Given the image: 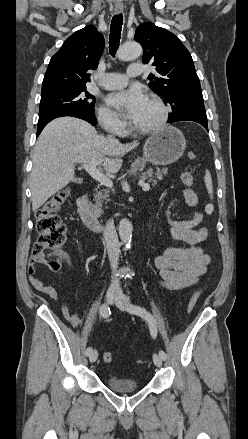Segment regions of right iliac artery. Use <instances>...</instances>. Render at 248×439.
<instances>
[{
    "label": "right iliac artery",
    "mask_w": 248,
    "mask_h": 439,
    "mask_svg": "<svg viewBox=\"0 0 248 439\" xmlns=\"http://www.w3.org/2000/svg\"><path fill=\"white\" fill-rule=\"evenodd\" d=\"M100 314L102 315V317L107 318L111 314L110 308L106 304H103L100 307ZM91 352L92 347H88L85 351V354L88 356Z\"/></svg>",
    "instance_id": "1"
}]
</instances>
